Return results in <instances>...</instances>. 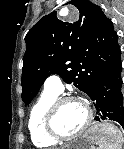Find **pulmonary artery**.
I'll return each mask as SVG.
<instances>
[{
	"mask_svg": "<svg viewBox=\"0 0 124 149\" xmlns=\"http://www.w3.org/2000/svg\"><path fill=\"white\" fill-rule=\"evenodd\" d=\"M44 89L59 95L63 91L61 78L56 74L49 76L44 83Z\"/></svg>",
	"mask_w": 124,
	"mask_h": 149,
	"instance_id": "e3ab8cb5",
	"label": "pulmonary artery"
}]
</instances>
